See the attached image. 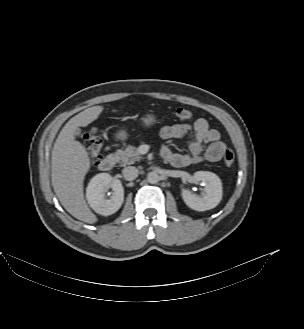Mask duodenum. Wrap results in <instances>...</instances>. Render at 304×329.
I'll return each mask as SVG.
<instances>
[{"label":"duodenum","instance_id":"obj_1","mask_svg":"<svg viewBox=\"0 0 304 329\" xmlns=\"http://www.w3.org/2000/svg\"><path fill=\"white\" fill-rule=\"evenodd\" d=\"M117 161L116 156L106 155L99 162V168L102 171H109L115 165Z\"/></svg>","mask_w":304,"mask_h":329}]
</instances>
